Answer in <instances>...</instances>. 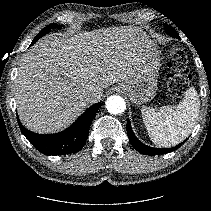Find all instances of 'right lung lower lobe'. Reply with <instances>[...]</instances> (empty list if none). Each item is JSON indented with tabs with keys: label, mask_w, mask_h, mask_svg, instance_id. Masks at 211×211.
Masks as SVG:
<instances>
[{
	"label": "right lung lower lobe",
	"mask_w": 211,
	"mask_h": 211,
	"mask_svg": "<svg viewBox=\"0 0 211 211\" xmlns=\"http://www.w3.org/2000/svg\"><path fill=\"white\" fill-rule=\"evenodd\" d=\"M102 106L98 102L88 108L69 128L56 134H37L20 123L23 135L41 153L46 155H65L81 150L87 140L89 127L95 114Z\"/></svg>",
	"instance_id": "1"
}]
</instances>
